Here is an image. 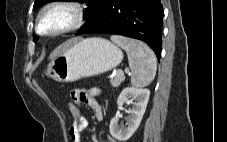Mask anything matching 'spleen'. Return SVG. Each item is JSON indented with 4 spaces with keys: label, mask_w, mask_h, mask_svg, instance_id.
I'll use <instances>...</instances> for the list:
<instances>
[{
    "label": "spleen",
    "mask_w": 227,
    "mask_h": 142,
    "mask_svg": "<svg viewBox=\"0 0 227 142\" xmlns=\"http://www.w3.org/2000/svg\"><path fill=\"white\" fill-rule=\"evenodd\" d=\"M110 39L127 52L131 84L138 88L149 85L157 70V59L153 50L143 42L123 36L113 35Z\"/></svg>",
    "instance_id": "3e777b00"
}]
</instances>
